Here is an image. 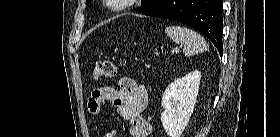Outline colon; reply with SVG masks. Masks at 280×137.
<instances>
[{
	"instance_id": "obj_1",
	"label": "colon",
	"mask_w": 280,
	"mask_h": 137,
	"mask_svg": "<svg viewBox=\"0 0 280 137\" xmlns=\"http://www.w3.org/2000/svg\"><path fill=\"white\" fill-rule=\"evenodd\" d=\"M118 64L112 60H105L98 63L93 70V79L100 81L103 79L112 78L118 72ZM106 137H113V134H107Z\"/></svg>"
}]
</instances>
